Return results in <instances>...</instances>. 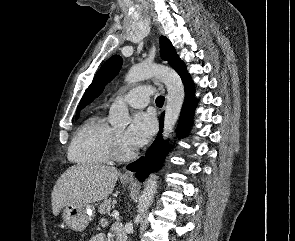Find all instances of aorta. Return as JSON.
I'll use <instances>...</instances> for the list:
<instances>
[{
    "label": "aorta",
    "instance_id": "aorta-1",
    "mask_svg": "<svg viewBox=\"0 0 295 241\" xmlns=\"http://www.w3.org/2000/svg\"><path fill=\"white\" fill-rule=\"evenodd\" d=\"M157 77L167 88V103L165 107L163 138L168 139L178 120L183 102L184 85L180 76L169 67L157 64L141 63L132 66L125 77L128 84ZM109 123L115 128H126L130 123L129 111L122 97H118L111 105L108 116ZM157 190V174L151 173L145 181L144 189L139 198L138 216L150 207Z\"/></svg>",
    "mask_w": 295,
    "mask_h": 241
}]
</instances>
